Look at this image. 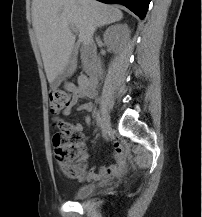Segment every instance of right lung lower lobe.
Here are the masks:
<instances>
[{
    "label": "right lung lower lobe",
    "mask_w": 202,
    "mask_h": 217,
    "mask_svg": "<svg viewBox=\"0 0 202 217\" xmlns=\"http://www.w3.org/2000/svg\"><path fill=\"white\" fill-rule=\"evenodd\" d=\"M107 4H122L143 19L151 0H98Z\"/></svg>",
    "instance_id": "right-lung-lower-lobe-1"
}]
</instances>
